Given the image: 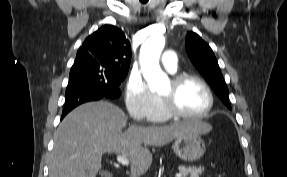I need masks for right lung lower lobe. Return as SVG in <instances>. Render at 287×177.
<instances>
[{
    "label": "right lung lower lobe",
    "instance_id": "1",
    "mask_svg": "<svg viewBox=\"0 0 287 177\" xmlns=\"http://www.w3.org/2000/svg\"><path fill=\"white\" fill-rule=\"evenodd\" d=\"M120 89L107 90L103 86L80 84L66 89L65 106L62 112V118L76 106L104 98H116L120 95Z\"/></svg>",
    "mask_w": 287,
    "mask_h": 177
}]
</instances>
